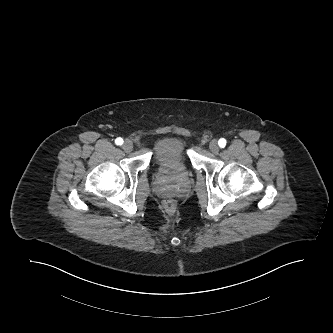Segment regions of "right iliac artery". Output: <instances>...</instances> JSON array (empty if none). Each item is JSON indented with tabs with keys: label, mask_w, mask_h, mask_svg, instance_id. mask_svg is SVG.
I'll return each mask as SVG.
<instances>
[{
	"label": "right iliac artery",
	"mask_w": 333,
	"mask_h": 333,
	"mask_svg": "<svg viewBox=\"0 0 333 333\" xmlns=\"http://www.w3.org/2000/svg\"><path fill=\"white\" fill-rule=\"evenodd\" d=\"M115 143L117 144V145H122L123 144V139L122 138H117L116 140H115Z\"/></svg>",
	"instance_id": "right-iliac-artery-1"
}]
</instances>
